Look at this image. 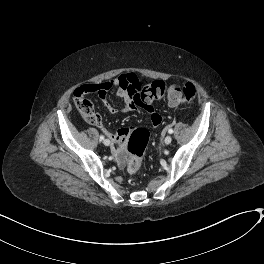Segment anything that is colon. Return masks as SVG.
<instances>
[{"label":"colon","instance_id":"5ec220e1","mask_svg":"<svg viewBox=\"0 0 264 264\" xmlns=\"http://www.w3.org/2000/svg\"><path fill=\"white\" fill-rule=\"evenodd\" d=\"M96 88V86L79 87L73 93V101L77 110L92 125H97L101 119L91 101L86 98V95L93 92ZM195 96L196 88L191 82H185L182 86L154 82L141 86L134 95V103L139 106L149 107L157 99L166 98L169 102L180 104L191 102ZM149 139V133L145 129L134 128L132 130L126 145V149L130 154L126 164V170L129 174H135L140 170L145 147Z\"/></svg>","mask_w":264,"mask_h":264}]
</instances>
